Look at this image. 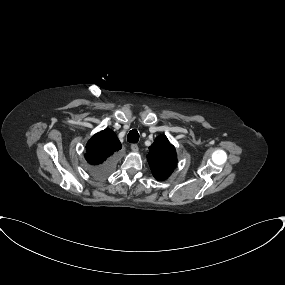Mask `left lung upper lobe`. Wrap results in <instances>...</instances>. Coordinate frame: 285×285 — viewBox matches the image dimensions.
<instances>
[{
  "label": "left lung upper lobe",
  "mask_w": 285,
  "mask_h": 285,
  "mask_svg": "<svg viewBox=\"0 0 285 285\" xmlns=\"http://www.w3.org/2000/svg\"><path fill=\"white\" fill-rule=\"evenodd\" d=\"M147 160L153 176L159 181L166 180L177 165L175 147L170 144L166 136H159L149 147Z\"/></svg>",
  "instance_id": "1"
}]
</instances>
